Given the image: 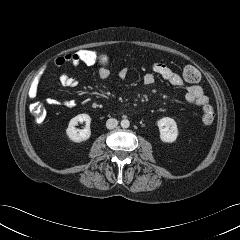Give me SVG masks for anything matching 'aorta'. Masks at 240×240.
I'll use <instances>...</instances> for the list:
<instances>
[{
  "mask_svg": "<svg viewBox=\"0 0 240 240\" xmlns=\"http://www.w3.org/2000/svg\"><path fill=\"white\" fill-rule=\"evenodd\" d=\"M121 127L122 128H128L129 126H130V122H129V120L128 119H123V120H121Z\"/></svg>",
  "mask_w": 240,
  "mask_h": 240,
  "instance_id": "762f6f07",
  "label": "aorta"
}]
</instances>
